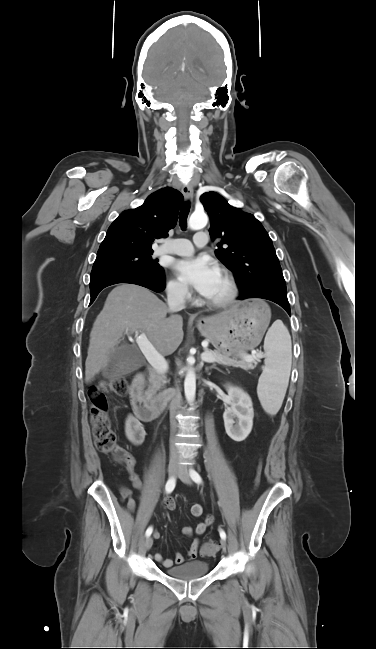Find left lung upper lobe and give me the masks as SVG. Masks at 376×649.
Returning a JSON list of instances; mask_svg holds the SVG:
<instances>
[{
	"instance_id": "5c2ea615",
	"label": "left lung upper lobe",
	"mask_w": 376,
	"mask_h": 649,
	"mask_svg": "<svg viewBox=\"0 0 376 649\" xmlns=\"http://www.w3.org/2000/svg\"><path fill=\"white\" fill-rule=\"evenodd\" d=\"M200 200L210 217L212 239L221 238L215 254L238 275L242 295L260 286L287 295L272 240L262 224L252 214L229 205L218 193H204Z\"/></svg>"
}]
</instances>
